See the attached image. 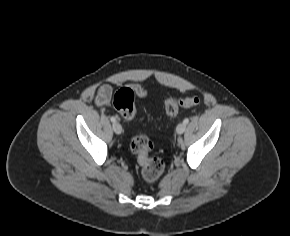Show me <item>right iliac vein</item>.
I'll use <instances>...</instances> for the list:
<instances>
[{
  "label": "right iliac vein",
  "instance_id": "obj_1",
  "mask_svg": "<svg viewBox=\"0 0 290 236\" xmlns=\"http://www.w3.org/2000/svg\"><path fill=\"white\" fill-rule=\"evenodd\" d=\"M113 130L116 134H121L122 133V126L118 122L113 123Z\"/></svg>",
  "mask_w": 290,
  "mask_h": 236
}]
</instances>
